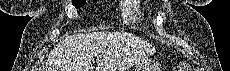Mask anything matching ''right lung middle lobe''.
Instances as JSON below:
<instances>
[{
    "label": "right lung middle lobe",
    "mask_w": 230,
    "mask_h": 71,
    "mask_svg": "<svg viewBox=\"0 0 230 71\" xmlns=\"http://www.w3.org/2000/svg\"><path fill=\"white\" fill-rule=\"evenodd\" d=\"M86 3V0H72V4L76 7V8H80L81 6H83Z\"/></svg>",
    "instance_id": "obj_1"
}]
</instances>
